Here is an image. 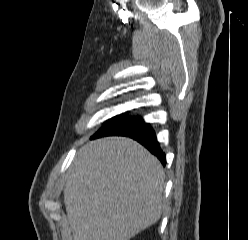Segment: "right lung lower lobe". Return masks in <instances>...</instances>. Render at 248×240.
<instances>
[{
    "label": "right lung lower lobe",
    "mask_w": 248,
    "mask_h": 240,
    "mask_svg": "<svg viewBox=\"0 0 248 240\" xmlns=\"http://www.w3.org/2000/svg\"><path fill=\"white\" fill-rule=\"evenodd\" d=\"M127 136L144 145L152 154L158 157L163 165L166 164V157L161 150L152 127L145 123L140 117L118 116L106 122L91 139L103 136Z\"/></svg>",
    "instance_id": "1"
}]
</instances>
